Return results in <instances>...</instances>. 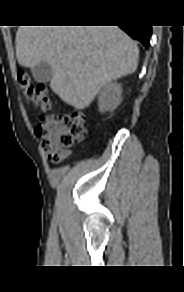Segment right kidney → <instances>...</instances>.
<instances>
[{
	"instance_id": "1",
	"label": "right kidney",
	"mask_w": 184,
	"mask_h": 292,
	"mask_svg": "<svg viewBox=\"0 0 184 292\" xmlns=\"http://www.w3.org/2000/svg\"><path fill=\"white\" fill-rule=\"evenodd\" d=\"M122 88L118 83H110L104 87L98 98L101 112L113 111L122 101Z\"/></svg>"
}]
</instances>
